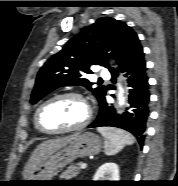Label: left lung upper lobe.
I'll list each match as a JSON object with an SVG mask.
<instances>
[{
  "mask_svg": "<svg viewBox=\"0 0 178 186\" xmlns=\"http://www.w3.org/2000/svg\"><path fill=\"white\" fill-rule=\"evenodd\" d=\"M141 54L143 48L131 27L110 17L100 18L41 67L30 102L35 104L61 86L83 85L92 90L100 103L106 87L91 88L93 83L85 78V74L91 73V66L108 67V59H115L119 64L117 70L121 71ZM117 70L109 69L112 75Z\"/></svg>",
  "mask_w": 178,
  "mask_h": 186,
  "instance_id": "1",
  "label": "left lung upper lobe"
}]
</instances>
